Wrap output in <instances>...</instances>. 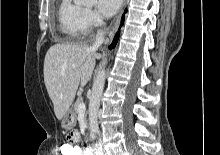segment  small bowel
I'll list each match as a JSON object with an SVG mask.
<instances>
[{"mask_svg": "<svg viewBox=\"0 0 220 155\" xmlns=\"http://www.w3.org/2000/svg\"><path fill=\"white\" fill-rule=\"evenodd\" d=\"M66 135H68L67 144H63L61 146H74L71 144H80V140H81L80 130H66ZM80 155H91V149L89 148H86L84 150L81 149Z\"/></svg>", "mask_w": 220, "mask_h": 155, "instance_id": "c3829d8e", "label": "small bowel"}]
</instances>
